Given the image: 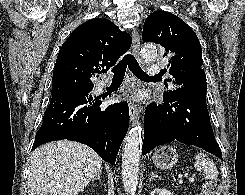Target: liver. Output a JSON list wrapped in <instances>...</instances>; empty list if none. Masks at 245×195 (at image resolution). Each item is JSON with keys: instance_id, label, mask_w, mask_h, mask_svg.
Here are the masks:
<instances>
[{"instance_id": "1", "label": "liver", "mask_w": 245, "mask_h": 195, "mask_svg": "<svg viewBox=\"0 0 245 195\" xmlns=\"http://www.w3.org/2000/svg\"><path fill=\"white\" fill-rule=\"evenodd\" d=\"M102 162L93 149L79 142L44 144L31 154L28 195H78L101 171Z\"/></svg>"}]
</instances>
